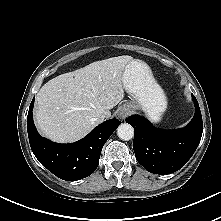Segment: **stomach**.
<instances>
[{
    "label": "stomach",
    "instance_id": "stomach-1",
    "mask_svg": "<svg viewBox=\"0 0 221 221\" xmlns=\"http://www.w3.org/2000/svg\"><path fill=\"white\" fill-rule=\"evenodd\" d=\"M123 86L131 96L128 105L142 109L150 120L158 122L167 108V98L155 82L152 73L142 61H130L123 72Z\"/></svg>",
    "mask_w": 221,
    "mask_h": 221
}]
</instances>
